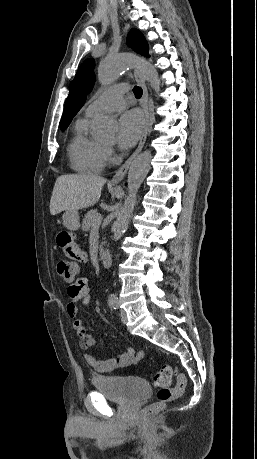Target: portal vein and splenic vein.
<instances>
[{
    "label": "portal vein and splenic vein",
    "mask_w": 257,
    "mask_h": 459,
    "mask_svg": "<svg viewBox=\"0 0 257 459\" xmlns=\"http://www.w3.org/2000/svg\"><path fill=\"white\" fill-rule=\"evenodd\" d=\"M101 221H102V216L101 214H99L97 218L94 220V226H99L101 224Z\"/></svg>",
    "instance_id": "obj_1"
}]
</instances>
